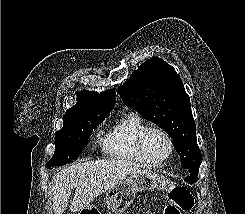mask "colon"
I'll return each instance as SVG.
<instances>
[{
    "instance_id": "1",
    "label": "colon",
    "mask_w": 245,
    "mask_h": 214,
    "mask_svg": "<svg viewBox=\"0 0 245 214\" xmlns=\"http://www.w3.org/2000/svg\"><path fill=\"white\" fill-rule=\"evenodd\" d=\"M194 200L192 195L184 187H177L171 190L166 196L164 214H184L193 208ZM146 214H154L147 212Z\"/></svg>"
}]
</instances>
